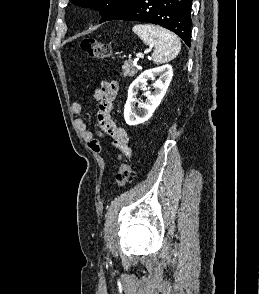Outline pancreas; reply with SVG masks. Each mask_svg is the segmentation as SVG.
<instances>
[{"label":"pancreas","instance_id":"obj_1","mask_svg":"<svg viewBox=\"0 0 259 294\" xmlns=\"http://www.w3.org/2000/svg\"><path fill=\"white\" fill-rule=\"evenodd\" d=\"M122 69H123V73H122L123 77L132 78L138 72L137 64H135L131 60L125 61L122 66Z\"/></svg>","mask_w":259,"mask_h":294}]
</instances>
